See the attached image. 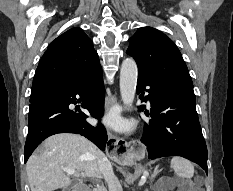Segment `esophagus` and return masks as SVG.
<instances>
[{
  "mask_svg": "<svg viewBox=\"0 0 233 191\" xmlns=\"http://www.w3.org/2000/svg\"><path fill=\"white\" fill-rule=\"evenodd\" d=\"M117 101L116 94H108L105 101L106 110H109ZM105 151L108 156H113V161L117 164H128L133 158L140 159L144 155L145 148L140 141L134 140L128 144L123 138L109 130Z\"/></svg>",
  "mask_w": 233,
  "mask_h": 191,
  "instance_id": "34e87169",
  "label": "esophagus"
}]
</instances>
